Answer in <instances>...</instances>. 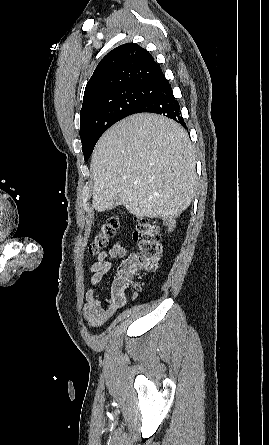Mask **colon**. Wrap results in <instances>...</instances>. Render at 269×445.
I'll return each mask as SVG.
<instances>
[{
  "instance_id": "colon-1",
  "label": "colon",
  "mask_w": 269,
  "mask_h": 445,
  "mask_svg": "<svg viewBox=\"0 0 269 445\" xmlns=\"http://www.w3.org/2000/svg\"><path fill=\"white\" fill-rule=\"evenodd\" d=\"M119 227L117 216L108 217L98 228L89 245L90 254H98L108 245ZM134 240L138 245L137 253L128 260L117 273L113 289L125 292L134 284L136 273L140 269L153 270L157 267L161 257V243L159 228L149 220H141L134 232Z\"/></svg>"
}]
</instances>
